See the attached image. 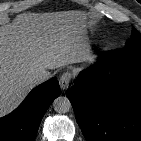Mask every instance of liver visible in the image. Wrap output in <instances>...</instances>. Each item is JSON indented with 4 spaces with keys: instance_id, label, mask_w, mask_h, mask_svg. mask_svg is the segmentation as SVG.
Segmentation results:
<instances>
[{
    "instance_id": "6515ba94",
    "label": "liver",
    "mask_w": 141,
    "mask_h": 141,
    "mask_svg": "<svg viewBox=\"0 0 141 141\" xmlns=\"http://www.w3.org/2000/svg\"><path fill=\"white\" fill-rule=\"evenodd\" d=\"M80 11L21 13L0 26V117L39 84L38 69L53 70L88 57Z\"/></svg>"
}]
</instances>
